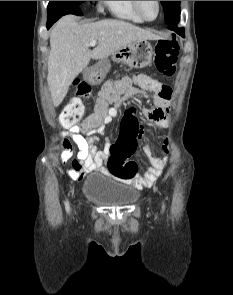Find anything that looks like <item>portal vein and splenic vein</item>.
<instances>
[{
    "mask_svg": "<svg viewBox=\"0 0 233 295\" xmlns=\"http://www.w3.org/2000/svg\"><path fill=\"white\" fill-rule=\"evenodd\" d=\"M96 44H97V41H96V40H92V41L89 43V46L94 47Z\"/></svg>",
    "mask_w": 233,
    "mask_h": 295,
    "instance_id": "obj_1",
    "label": "portal vein and splenic vein"
}]
</instances>
